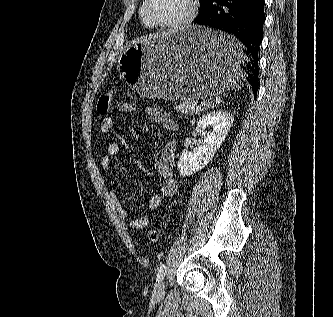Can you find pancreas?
Wrapping results in <instances>:
<instances>
[{
    "mask_svg": "<svg viewBox=\"0 0 333 317\" xmlns=\"http://www.w3.org/2000/svg\"><path fill=\"white\" fill-rule=\"evenodd\" d=\"M213 106L214 104L210 102H202L201 105H197L195 102H183L180 104H175V109L184 115L194 116Z\"/></svg>",
    "mask_w": 333,
    "mask_h": 317,
    "instance_id": "cf45deb5",
    "label": "pancreas"
}]
</instances>
